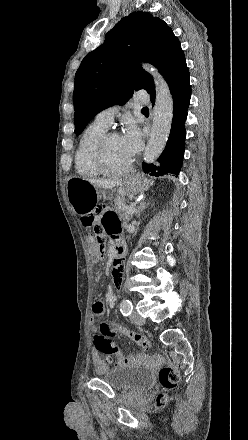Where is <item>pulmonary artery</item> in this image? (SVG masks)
Instances as JSON below:
<instances>
[{
    "label": "pulmonary artery",
    "mask_w": 248,
    "mask_h": 440,
    "mask_svg": "<svg viewBox=\"0 0 248 440\" xmlns=\"http://www.w3.org/2000/svg\"><path fill=\"white\" fill-rule=\"evenodd\" d=\"M136 96H137V99H139L141 101L147 100V95L143 91H138ZM120 109H121V106H119V105H113L111 107H108L96 115L95 121L98 124L104 126L105 128H109L111 126V124L113 123L114 117L117 115V113L120 111Z\"/></svg>",
    "instance_id": "obj_1"
}]
</instances>
